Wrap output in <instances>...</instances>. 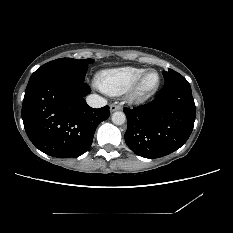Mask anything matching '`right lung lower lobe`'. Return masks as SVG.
Instances as JSON below:
<instances>
[{
  "label": "right lung lower lobe",
  "instance_id": "1",
  "mask_svg": "<svg viewBox=\"0 0 233 233\" xmlns=\"http://www.w3.org/2000/svg\"><path fill=\"white\" fill-rule=\"evenodd\" d=\"M90 91L84 82L60 75L28 83L22 119L36 148L57 158H76L89 149L97 126L110 116L109 106H88L84 97Z\"/></svg>",
  "mask_w": 233,
  "mask_h": 233
}]
</instances>
